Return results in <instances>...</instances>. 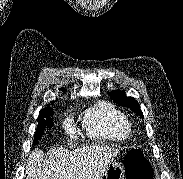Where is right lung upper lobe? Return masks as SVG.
Wrapping results in <instances>:
<instances>
[{
  "mask_svg": "<svg viewBox=\"0 0 183 179\" xmlns=\"http://www.w3.org/2000/svg\"><path fill=\"white\" fill-rule=\"evenodd\" d=\"M61 90H62V91H64L65 89H64V88H62ZM47 107H50V106H47Z\"/></svg>",
  "mask_w": 183,
  "mask_h": 179,
  "instance_id": "1",
  "label": "right lung upper lobe"
}]
</instances>
